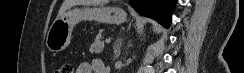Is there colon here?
<instances>
[{
	"label": "colon",
	"instance_id": "5ec220e1",
	"mask_svg": "<svg viewBox=\"0 0 244 73\" xmlns=\"http://www.w3.org/2000/svg\"><path fill=\"white\" fill-rule=\"evenodd\" d=\"M57 73H73V64L71 62L63 63L58 68Z\"/></svg>",
	"mask_w": 244,
	"mask_h": 73
}]
</instances>
